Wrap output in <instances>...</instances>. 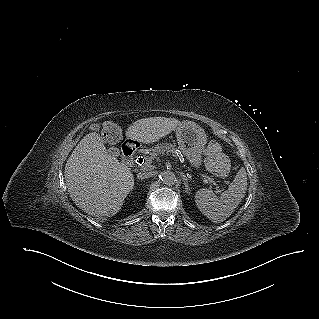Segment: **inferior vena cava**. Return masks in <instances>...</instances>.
<instances>
[{
	"mask_svg": "<svg viewBox=\"0 0 319 319\" xmlns=\"http://www.w3.org/2000/svg\"><path fill=\"white\" fill-rule=\"evenodd\" d=\"M154 176V173L151 172V171H142V172H139L137 174V178L138 179H146V178H150V177H153Z\"/></svg>",
	"mask_w": 319,
	"mask_h": 319,
	"instance_id": "1",
	"label": "inferior vena cava"
}]
</instances>
